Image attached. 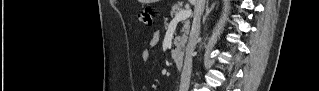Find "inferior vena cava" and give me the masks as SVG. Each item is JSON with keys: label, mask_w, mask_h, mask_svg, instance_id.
<instances>
[{"label": "inferior vena cava", "mask_w": 319, "mask_h": 91, "mask_svg": "<svg viewBox=\"0 0 319 91\" xmlns=\"http://www.w3.org/2000/svg\"><path fill=\"white\" fill-rule=\"evenodd\" d=\"M205 2L206 0H196L194 9V19L192 23L189 42L186 47V56L184 60L183 70L181 73L179 91H188L189 89L190 77L192 72V57L194 55V49L197 44V40L200 33V20L204 11Z\"/></svg>", "instance_id": "1"}]
</instances>
